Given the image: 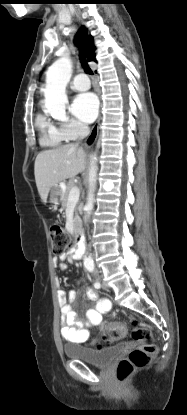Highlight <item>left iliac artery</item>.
<instances>
[{
    "instance_id": "obj_1",
    "label": "left iliac artery",
    "mask_w": 187,
    "mask_h": 415,
    "mask_svg": "<svg viewBox=\"0 0 187 415\" xmlns=\"http://www.w3.org/2000/svg\"><path fill=\"white\" fill-rule=\"evenodd\" d=\"M86 268H87L90 272H93L94 274H96V273H97V271L95 270V266H94V264H91V265L87 266ZM94 287H95L96 289H99V288H100V283H99V282H96V283L94 284Z\"/></svg>"
}]
</instances>
